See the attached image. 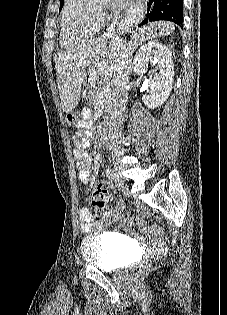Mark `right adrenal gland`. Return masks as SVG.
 Returning a JSON list of instances; mask_svg holds the SVG:
<instances>
[{
    "label": "right adrenal gland",
    "mask_w": 227,
    "mask_h": 315,
    "mask_svg": "<svg viewBox=\"0 0 227 315\" xmlns=\"http://www.w3.org/2000/svg\"><path fill=\"white\" fill-rule=\"evenodd\" d=\"M140 46L138 43H134L129 55L132 56L133 52Z\"/></svg>",
    "instance_id": "obj_1"
}]
</instances>
